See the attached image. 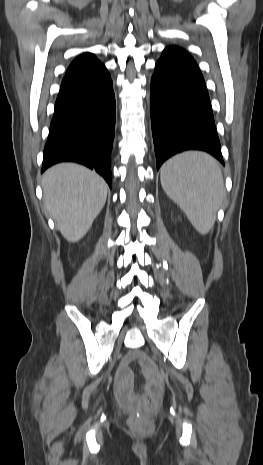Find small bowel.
<instances>
[{
	"label": "small bowel",
	"mask_w": 263,
	"mask_h": 465,
	"mask_svg": "<svg viewBox=\"0 0 263 465\" xmlns=\"http://www.w3.org/2000/svg\"><path fill=\"white\" fill-rule=\"evenodd\" d=\"M135 355H128L122 362L116 375V396L123 404H129L135 401L138 396L133 393V372L129 364L135 360ZM148 382H158V376L155 373H148Z\"/></svg>",
	"instance_id": "small-bowel-1"
}]
</instances>
